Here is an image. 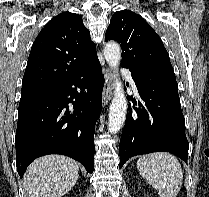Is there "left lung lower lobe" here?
Listing matches in <instances>:
<instances>
[{
    "instance_id": "1",
    "label": "left lung lower lobe",
    "mask_w": 209,
    "mask_h": 197,
    "mask_svg": "<svg viewBox=\"0 0 209 197\" xmlns=\"http://www.w3.org/2000/svg\"><path fill=\"white\" fill-rule=\"evenodd\" d=\"M131 73L143 102L134 101L138 107H128L119 145L120 168L133 156L158 151L187 162L189 143L177 82L147 80Z\"/></svg>"
}]
</instances>
